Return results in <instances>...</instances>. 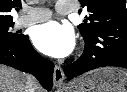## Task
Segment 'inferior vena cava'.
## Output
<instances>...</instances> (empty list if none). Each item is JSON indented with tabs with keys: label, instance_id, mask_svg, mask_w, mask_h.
<instances>
[{
	"label": "inferior vena cava",
	"instance_id": "602c4592",
	"mask_svg": "<svg viewBox=\"0 0 127 92\" xmlns=\"http://www.w3.org/2000/svg\"><path fill=\"white\" fill-rule=\"evenodd\" d=\"M36 79L33 76H29L26 85V92H35Z\"/></svg>",
	"mask_w": 127,
	"mask_h": 92
}]
</instances>
